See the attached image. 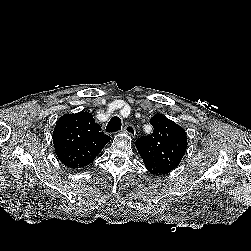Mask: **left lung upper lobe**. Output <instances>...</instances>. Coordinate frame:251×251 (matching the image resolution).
Returning <instances> with one entry per match:
<instances>
[{
	"instance_id": "obj_1",
	"label": "left lung upper lobe",
	"mask_w": 251,
	"mask_h": 251,
	"mask_svg": "<svg viewBox=\"0 0 251 251\" xmlns=\"http://www.w3.org/2000/svg\"><path fill=\"white\" fill-rule=\"evenodd\" d=\"M150 123L153 132L136 140V148L151 174L165 175L179 165L186 152V132L162 114L154 115Z\"/></svg>"
}]
</instances>
